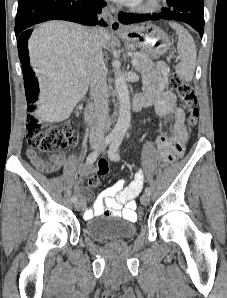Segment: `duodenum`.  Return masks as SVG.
Masks as SVG:
<instances>
[{"label":"duodenum","mask_w":227,"mask_h":298,"mask_svg":"<svg viewBox=\"0 0 227 298\" xmlns=\"http://www.w3.org/2000/svg\"><path fill=\"white\" fill-rule=\"evenodd\" d=\"M145 106H146V103L142 99V97H140L138 95V96H136V97L133 98V100H132V108H133V110L139 111L142 108H144ZM93 120H94V109H93V106L91 104H89L87 106V109H86V121L88 123H92Z\"/></svg>","instance_id":"1"}]
</instances>
